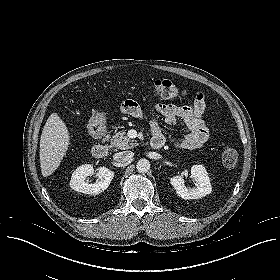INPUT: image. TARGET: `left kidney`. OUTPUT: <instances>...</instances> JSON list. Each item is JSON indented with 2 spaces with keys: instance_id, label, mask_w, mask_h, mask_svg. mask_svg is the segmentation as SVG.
Returning <instances> with one entry per match:
<instances>
[{
  "instance_id": "1",
  "label": "left kidney",
  "mask_w": 280,
  "mask_h": 280,
  "mask_svg": "<svg viewBox=\"0 0 280 280\" xmlns=\"http://www.w3.org/2000/svg\"><path fill=\"white\" fill-rule=\"evenodd\" d=\"M191 176L196 182L192 188L185 186L184 179L181 176H174L170 179V183L179 197L185 200L199 199L211 193L212 186L203 165H193L191 167Z\"/></svg>"
}]
</instances>
